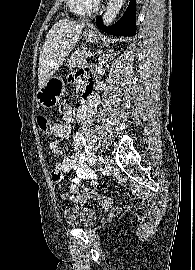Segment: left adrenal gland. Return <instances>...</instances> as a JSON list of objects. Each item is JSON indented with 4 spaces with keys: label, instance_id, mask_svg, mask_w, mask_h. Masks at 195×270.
Instances as JSON below:
<instances>
[{
    "label": "left adrenal gland",
    "instance_id": "obj_1",
    "mask_svg": "<svg viewBox=\"0 0 195 270\" xmlns=\"http://www.w3.org/2000/svg\"><path fill=\"white\" fill-rule=\"evenodd\" d=\"M109 54L103 55L102 57L100 56L101 63H105L108 61L109 58H112L114 53L113 51H109Z\"/></svg>",
    "mask_w": 195,
    "mask_h": 270
}]
</instances>
